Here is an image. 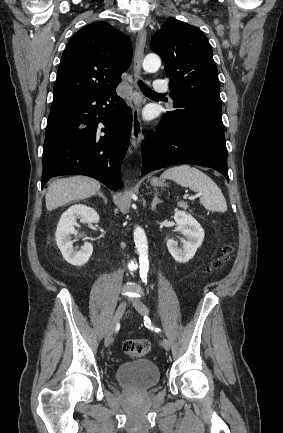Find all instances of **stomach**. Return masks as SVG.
I'll return each instance as SVG.
<instances>
[{"label": "stomach", "instance_id": "1", "mask_svg": "<svg viewBox=\"0 0 283 433\" xmlns=\"http://www.w3.org/2000/svg\"><path fill=\"white\" fill-rule=\"evenodd\" d=\"M151 184H153V186H162L163 182L159 180V178H151Z\"/></svg>", "mask_w": 283, "mask_h": 433}]
</instances>
